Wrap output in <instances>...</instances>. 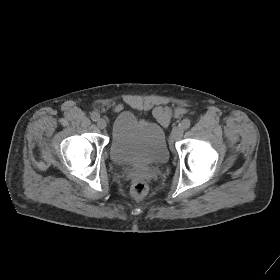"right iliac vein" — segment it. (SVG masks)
Listing matches in <instances>:
<instances>
[{
	"label": "right iliac vein",
	"mask_w": 280,
	"mask_h": 280,
	"mask_svg": "<svg viewBox=\"0 0 280 280\" xmlns=\"http://www.w3.org/2000/svg\"><path fill=\"white\" fill-rule=\"evenodd\" d=\"M97 126L100 128V129H105L106 126H107V122L106 120L104 119H99L98 122H97Z\"/></svg>",
	"instance_id": "right-iliac-vein-1"
}]
</instances>
